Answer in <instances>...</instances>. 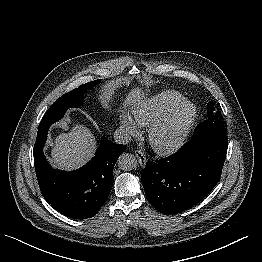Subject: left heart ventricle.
Listing matches in <instances>:
<instances>
[{"mask_svg": "<svg viewBox=\"0 0 262 262\" xmlns=\"http://www.w3.org/2000/svg\"><path fill=\"white\" fill-rule=\"evenodd\" d=\"M187 111L182 112L179 114L172 122L170 125H168L166 128H164L158 135H157V140L159 144L161 145H166L170 143L179 128V126L183 123L184 118L186 116Z\"/></svg>", "mask_w": 262, "mask_h": 262, "instance_id": "1", "label": "left heart ventricle"}]
</instances>
